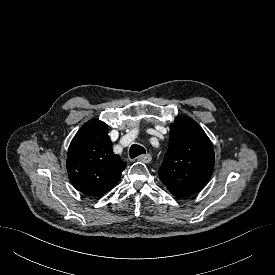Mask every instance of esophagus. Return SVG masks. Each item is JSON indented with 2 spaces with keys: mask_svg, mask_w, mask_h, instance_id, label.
I'll return each instance as SVG.
<instances>
[{
  "mask_svg": "<svg viewBox=\"0 0 275 275\" xmlns=\"http://www.w3.org/2000/svg\"><path fill=\"white\" fill-rule=\"evenodd\" d=\"M137 160L143 163H149L152 160L150 154H144L137 157Z\"/></svg>",
  "mask_w": 275,
  "mask_h": 275,
  "instance_id": "obj_1",
  "label": "esophagus"
}]
</instances>
